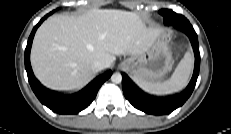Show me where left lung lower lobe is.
<instances>
[{"label":"left lung lower lobe","instance_id":"0a47b994","mask_svg":"<svg viewBox=\"0 0 231 134\" xmlns=\"http://www.w3.org/2000/svg\"><path fill=\"white\" fill-rule=\"evenodd\" d=\"M170 24L184 31L190 38L195 52V67L192 79L186 89L179 95L167 99H153L141 93V90L126 75L122 74V88L126 99L137 109L148 114H169L176 108L182 106L192 94L195 87L200 68V53L198 37L190 22L182 15L171 12Z\"/></svg>","mask_w":231,"mask_h":134}]
</instances>
